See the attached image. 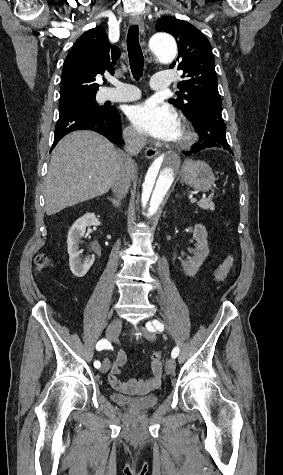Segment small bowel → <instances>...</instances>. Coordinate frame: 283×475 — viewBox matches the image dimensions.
I'll return each instance as SVG.
<instances>
[{"label":"small bowel","mask_w":283,"mask_h":475,"mask_svg":"<svg viewBox=\"0 0 283 475\" xmlns=\"http://www.w3.org/2000/svg\"><path fill=\"white\" fill-rule=\"evenodd\" d=\"M234 256L232 254H228L225 259L218 265V267L214 271V278L216 281H223L230 269L232 268L234 264ZM127 363V356L126 353L123 350H120L117 353L116 359L114 363L112 364L110 371L108 373V382L111 385L112 388L120 391L126 390L125 384L121 383L119 380V375L121 373V369L126 365ZM163 374V369H152V376L149 378L145 376H140L138 378V383L140 385H145L148 382L153 385L157 386L161 382ZM128 383L130 385H135L137 383V378L135 376H130L128 378Z\"/></svg>","instance_id":"c3829d8e"}]
</instances>
